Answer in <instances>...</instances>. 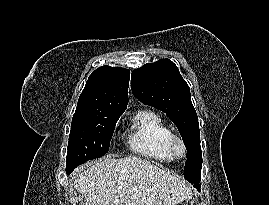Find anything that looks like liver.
Wrapping results in <instances>:
<instances>
[{
    "label": "liver",
    "instance_id": "liver-1",
    "mask_svg": "<svg viewBox=\"0 0 269 205\" xmlns=\"http://www.w3.org/2000/svg\"><path fill=\"white\" fill-rule=\"evenodd\" d=\"M86 205H176L192 188L139 157L105 158L74 175Z\"/></svg>",
    "mask_w": 269,
    "mask_h": 205
}]
</instances>
